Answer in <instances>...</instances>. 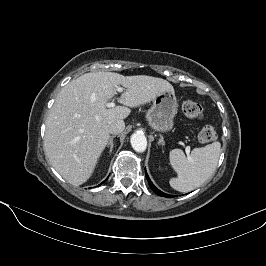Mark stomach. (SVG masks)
<instances>
[{"label": "stomach", "mask_w": 266, "mask_h": 266, "mask_svg": "<svg viewBox=\"0 0 266 266\" xmlns=\"http://www.w3.org/2000/svg\"><path fill=\"white\" fill-rule=\"evenodd\" d=\"M177 113V100L174 93L164 92L153 99L146 119L157 131L166 132L172 129L173 119Z\"/></svg>", "instance_id": "1"}]
</instances>
